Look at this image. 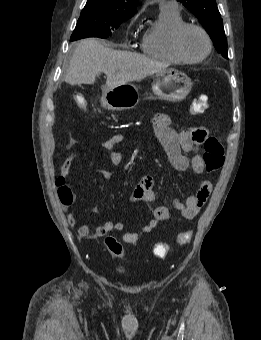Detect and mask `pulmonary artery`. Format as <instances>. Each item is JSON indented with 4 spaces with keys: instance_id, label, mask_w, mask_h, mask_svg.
Wrapping results in <instances>:
<instances>
[{
    "instance_id": "obj_1",
    "label": "pulmonary artery",
    "mask_w": 261,
    "mask_h": 340,
    "mask_svg": "<svg viewBox=\"0 0 261 340\" xmlns=\"http://www.w3.org/2000/svg\"><path fill=\"white\" fill-rule=\"evenodd\" d=\"M160 8L179 10V5L175 0H162L160 2Z\"/></svg>"
}]
</instances>
